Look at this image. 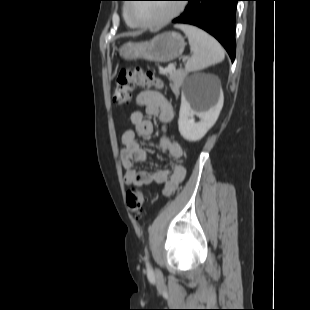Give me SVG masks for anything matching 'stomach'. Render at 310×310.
Instances as JSON below:
<instances>
[{
    "label": "stomach",
    "mask_w": 310,
    "mask_h": 310,
    "mask_svg": "<svg viewBox=\"0 0 310 310\" xmlns=\"http://www.w3.org/2000/svg\"><path fill=\"white\" fill-rule=\"evenodd\" d=\"M184 38L176 32H166L142 43H126L118 49L119 55L127 60L144 58L156 63L170 62L185 48Z\"/></svg>",
    "instance_id": "0dacf381"
}]
</instances>
